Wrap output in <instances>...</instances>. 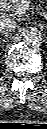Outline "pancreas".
I'll return each instance as SVG.
<instances>
[{"instance_id": "1", "label": "pancreas", "mask_w": 47, "mask_h": 129, "mask_svg": "<svg viewBox=\"0 0 47 129\" xmlns=\"http://www.w3.org/2000/svg\"><path fill=\"white\" fill-rule=\"evenodd\" d=\"M28 2L29 0H10V3L12 4L15 10H17L19 7L28 6Z\"/></svg>"}]
</instances>
